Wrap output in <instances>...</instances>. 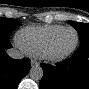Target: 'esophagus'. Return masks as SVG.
I'll list each match as a JSON object with an SVG mask.
<instances>
[{"label": "esophagus", "mask_w": 89, "mask_h": 89, "mask_svg": "<svg viewBox=\"0 0 89 89\" xmlns=\"http://www.w3.org/2000/svg\"><path fill=\"white\" fill-rule=\"evenodd\" d=\"M31 66L32 67H37V66H39V62H37L35 60H31Z\"/></svg>", "instance_id": "1"}]
</instances>
